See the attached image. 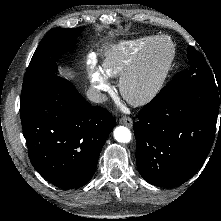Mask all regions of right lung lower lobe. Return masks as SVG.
Masks as SVG:
<instances>
[{
	"instance_id": "right-lung-lower-lobe-1",
	"label": "right lung lower lobe",
	"mask_w": 221,
	"mask_h": 221,
	"mask_svg": "<svg viewBox=\"0 0 221 221\" xmlns=\"http://www.w3.org/2000/svg\"><path fill=\"white\" fill-rule=\"evenodd\" d=\"M20 112L29 158L39 174L62 189L87 184L115 127L113 116L91 106L59 76L20 105Z\"/></svg>"
}]
</instances>
